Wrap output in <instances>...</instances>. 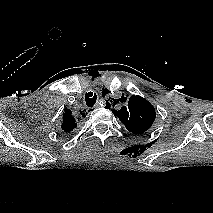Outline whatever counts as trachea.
<instances>
[{
    "instance_id": "obj_1",
    "label": "trachea",
    "mask_w": 213,
    "mask_h": 213,
    "mask_svg": "<svg viewBox=\"0 0 213 213\" xmlns=\"http://www.w3.org/2000/svg\"><path fill=\"white\" fill-rule=\"evenodd\" d=\"M97 96L93 92H88L85 95L86 105L92 107L96 103Z\"/></svg>"
}]
</instances>
